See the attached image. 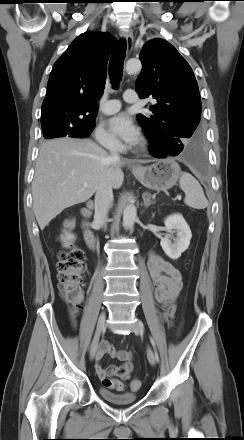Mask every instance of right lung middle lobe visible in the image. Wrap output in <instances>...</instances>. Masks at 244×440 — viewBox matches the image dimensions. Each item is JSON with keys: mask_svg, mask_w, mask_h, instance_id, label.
Masks as SVG:
<instances>
[{"mask_svg": "<svg viewBox=\"0 0 244 440\" xmlns=\"http://www.w3.org/2000/svg\"><path fill=\"white\" fill-rule=\"evenodd\" d=\"M43 136L46 139L57 137H76L84 138L90 135L92 132L95 121L87 123L85 125L76 126L69 121L61 120H46L41 121Z\"/></svg>", "mask_w": 244, "mask_h": 440, "instance_id": "1", "label": "right lung middle lobe"}]
</instances>
